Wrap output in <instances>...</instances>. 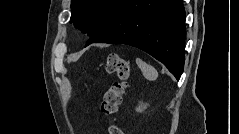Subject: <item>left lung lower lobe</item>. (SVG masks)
Here are the masks:
<instances>
[{
	"mask_svg": "<svg viewBox=\"0 0 239 134\" xmlns=\"http://www.w3.org/2000/svg\"><path fill=\"white\" fill-rule=\"evenodd\" d=\"M185 9L182 0H124L94 42L137 47L161 61L180 79L185 60Z\"/></svg>",
	"mask_w": 239,
	"mask_h": 134,
	"instance_id": "0a47b994",
	"label": "left lung lower lobe"
}]
</instances>
